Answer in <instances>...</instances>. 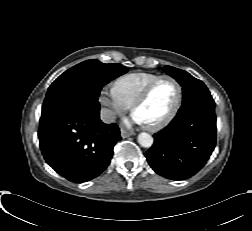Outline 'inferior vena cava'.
<instances>
[{
  "label": "inferior vena cava",
  "instance_id": "inferior-vena-cava-1",
  "mask_svg": "<svg viewBox=\"0 0 252 231\" xmlns=\"http://www.w3.org/2000/svg\"><path fill=\"white\" fill-rule=\"evenodd\" d=\"M100 118L104 123H112L115 121V113L107 108L101 109Z\"/></svg>",
  "mask_w": 252,
  "mask_h": 231
}]
</instances>
